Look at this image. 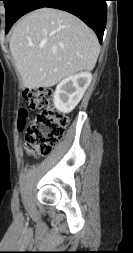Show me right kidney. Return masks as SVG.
Segmentation results:
<instances>
[{"label": "right kidney", "instance_id": "right-kidney-1", "mask_svg": "<svg viewBox=\"0 0 133 253\" xmlns=\"http://www.w3.org/2000/svg\"><path fill=\"white\" fill-rule=\"evenodd\" d=\"M92 75L89 72L79 73L62 80L56 87L54 106L62 113H70L82 99L90 85Z\"/></svg>", "mask_w": 133, "mask_h": 253}]
</instances>
